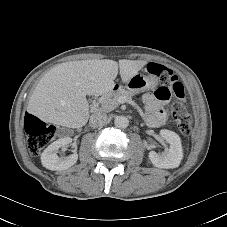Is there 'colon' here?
Returning <instances> with one entry per match:
<instances>
[{
  "mask_svg": "<svg viewBox=\"0 0 227 227\" xmlns=\"http://www.w3.org/2000/svg\"><path fill=\"white\" fill-rule=\"evenodd\" d=\"M149 73L160 78L163 86L174 93L177 100L171 105V116L181 133L187 135L191 132L192 118L188 113L184 99V87L169 68L156 63L148 65ZM24 127L28 135L27 147L31 155H37L55 137L57 128L48 124L32 114H26Z\"/></svg>",
  "mask_w": 227,
  "mask_h": 227,
  "instance_id": "obj_1",
  "label": "colon"
}]
</instances>
